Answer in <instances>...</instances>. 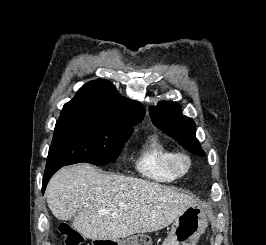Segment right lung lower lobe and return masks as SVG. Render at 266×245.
Wrapping results in <instances>:
<instances>
[{
    "instance_id": "right-lung-lower-lobe-1",
    "label": "right lung lower lobe",
    "mask_w": 266,
    "mask_h": 245,
    "mask_svg": "<svg viewBox=\"0 0 266 245\" xmlns=\"http://www.w3.org/2000/svg\"><path fill=\"white\" fill-rule=\"evenodd\" d=\"M60 167H55L52 169H45V174L43 177V186H42V193L44 194L45 188L47 186L48 181L52 177V175L59 169Z\"/></svg>"
}]
</instances>
